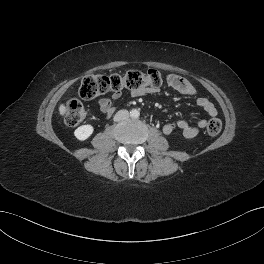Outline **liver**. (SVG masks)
Masks as SVG:
<instances>
[{
	"instance_id": "6515ba94",
	"label": "liver",
	"mask_w": 264,
	"mask_h": 264,
	"mask_svg": "<svg viewBox=\"0 0 264 264\" xmlns=\"http://www.w3.org/2000/svg\"><path fill=\"white\" fill-rule=\"evenodd\" d=\"M66 112H67V108L65 107V105L64 104H60V106H59L60 115L63 116V115L66 114Z\"/></svg>"
}]
</instances>
